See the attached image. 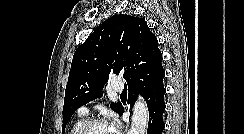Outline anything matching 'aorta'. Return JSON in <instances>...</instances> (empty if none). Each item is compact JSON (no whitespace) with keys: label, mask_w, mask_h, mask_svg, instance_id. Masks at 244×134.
<instances>
[{"label":"aorta","mask_w":244,"mask_h":134,"mask_svg":"<svg viewBox=\"0 0 244 134\" xmlns=\"http://www.w3.org/2000/svg\"><path fill=\"white\" fill-rule=\"evenodd\" d=\"M149 111L147 104L139 98L133 108L132 122L128 134H145L147 131Z\"/></svg>","instance_id":"762f6f07"}]
</instances>
